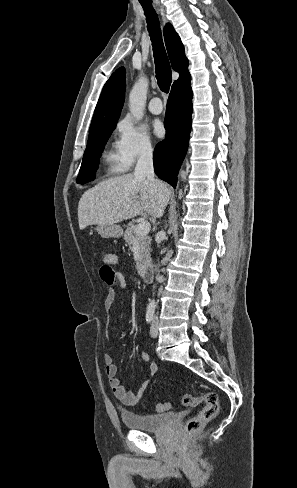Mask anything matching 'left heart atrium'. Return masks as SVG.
<instances>
[{
  "instance_id": "left-heart-atrium-1",
  "label": "left heart atrium",
  "mask_w": 297,
  "mask_h": 488,
  "mask_svg": "<svg viewBox=\"0 0 297 488\" xmlns=\"http://www.w3.org/2000/svg\"><path fill=\"white\" fill-rule=\"evenodd\" d=\"M153 132L157 137L162 138L166 132L163 123L160 121L154 122L153 123Z\"/></svg>"
}]
</instances>
